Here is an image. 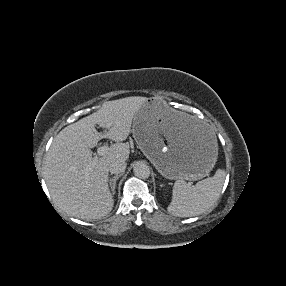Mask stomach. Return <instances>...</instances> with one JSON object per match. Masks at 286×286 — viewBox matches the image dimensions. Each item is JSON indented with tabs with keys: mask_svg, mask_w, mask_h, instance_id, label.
Listing matches in <instances>:
<instances>
[{
	"mask_svg": "<svg viewBox=\"0 0 286 286\" xmlns=\"http://www.w3.org/2000/svg\"><path fill=\"white\" fill-rule=\"evenodd\" d=\"M132 133L143 154L171 180H199L213 169L219 138L207 122L152 94L138 104Z\"/></svg>",
	"mask_w": 286,
	"mask_h": 286,
	"instance_id": "1",
	"label": "stomach"
}]
</instances>
